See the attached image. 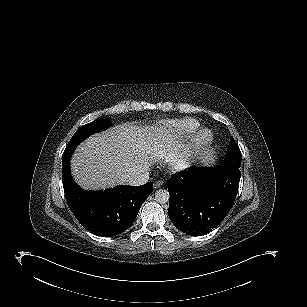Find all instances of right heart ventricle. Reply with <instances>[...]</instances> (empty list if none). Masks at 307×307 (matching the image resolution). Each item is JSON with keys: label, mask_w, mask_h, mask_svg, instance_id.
Segmentation results:
<instances>
[{"label": "right heart ventricle", "mask_w": 307, "mask_h": 307, "mask_svg": "<svg viewBox=\"0 0 307 307\" xmlns=\"http://www.w3.org/2000/svg\"><path fill=\"white\" fill-rule=\"evenodd\" d=\"M196 129L197 123L191 118L167 120L161 122L155 136L159 146L167 148L182 140H192Z\"/></svg>", "instance_id": "obj_1"}]
</instances>
